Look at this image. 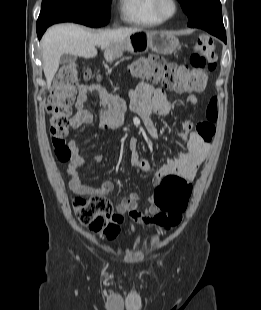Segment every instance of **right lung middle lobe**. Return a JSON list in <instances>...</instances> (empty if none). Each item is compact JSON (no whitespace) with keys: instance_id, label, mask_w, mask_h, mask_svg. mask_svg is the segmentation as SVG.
<instances>
[{"instance_id":"dd1d6c3e","label":"right lung middle lobe","mask_w":261,"mask_h":310,"mask_svg":"<svg viewBox=\"0 0 261 310\" xmlns=\"http://www.w3.org/2000/svg\"><path fill=\"white\" fill-rule=\"evenodd\" d=\"M111 0H42L37 28L58 22L100 27L110 20Z\"/></svg>"}]
</instances>
